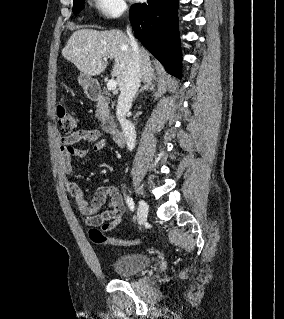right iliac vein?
<instances>
[{"instance_id": "1", "label": "right iliac vein", "mask_w": 284, "mask_h": 319, "mask_svg": "<svg viewBox=\"0 0 284 319\" xmlns=\"http://www.w3.org/2000/svg\"><path fill=\"white\" fill-rule=\"evenodd\" d=\"M148 212L149 208L147 203L144 200H140L137 211V219L140 225L147 220Z\"/></svg>"}]
</instances>
